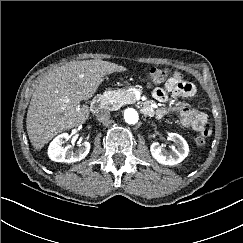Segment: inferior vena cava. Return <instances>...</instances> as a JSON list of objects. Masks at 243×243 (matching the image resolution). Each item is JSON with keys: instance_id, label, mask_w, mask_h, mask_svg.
Segmentation results:
<instances>
[{"instance_id": "obj_1", "label": "inferior vena cava", "mask_w": 243, "mask_h": 243, "mask_svg": "<svg viewBox=\"0 0 243 243\" xmlns=\"http://www.w3.org/2000/svg\"><path fill=\"white\" fill-rule=\"evenodd\" d=\"M96 119L100 122L106 121L110 118V112L107 109H100L95 113Z\"/></svg>"}]
</instances>
